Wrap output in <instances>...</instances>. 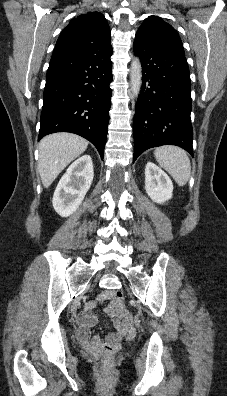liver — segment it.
I'll use <instances>...</instances> for the list:
<instances>
[{
    "label": "liver",
    "instance_id": "liver-1",
    "mask_svg": "<svg viewBox=\"0 0 227 396\" xmlns=\"http://www.w3.org/2000/svg\"><path fill=\"white\" fill-rule=\"evenodd\" d=\"M88 141L71 133H55L39 143L38 171L42 184L48 188L56 177L87 148Z\"/></svg>",
    "mask_w": 227,
    "mask_h": 396
}]
</instances>
